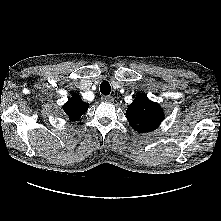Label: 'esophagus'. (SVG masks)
Returning <instances> with one entry per match:
<instances>
[{"label": "esophagus", "mask_w": 221, "mask_h": 221, "mask_svg": "<svg viewBox=\"0 0 221 221\" xmlns=\"http://www.w3.org/2000/svg\"><path fill=\"white\" fill-rule=\"evenodd\" d=\"M101 99L105 102H113L114 100L112 96H107V95L102 96Z\"/></svg>", "instance_id": "obj_1"}]
</instances>
